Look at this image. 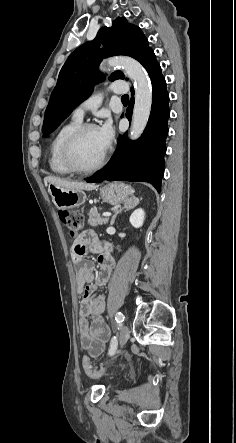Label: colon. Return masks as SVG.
I'll use <instances>...</instances> for the list:
<instances>
[{"mask_svg": "<svg viewBox=\"0 0 236 443\" xmlns=\"http://www.w3.org/2000/svg\"><path fill=\"white\" fill-rule=\"evenodd\" d=\"M60 221L65 225L70 234L75 235L79 233L83 227V216L81 213L77 211H67L62 210L58 214ZM84 248L77 247L73 250V255L75 259H78L84 255ZM119 366L126 369H134L135 366H131L126 363H119ZM83 367L85 372L90 377H98L101 376L105 372V367H101L99 369H95L92 363V360L89 355H85L83 358Z\"/></svg>", "mask_w": 236, "mask_h": 443, "instance_id": "colon-1", "label": "colon"}]
</instances>
